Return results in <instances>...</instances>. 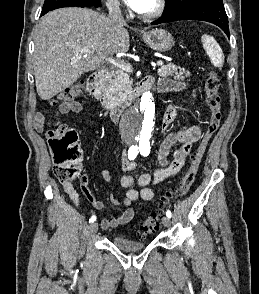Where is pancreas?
Returning a JSON list of instances; mask_svg holds the SVG:
<instances>
[{"instance_id": "cf45deb5", "label": "pancreas", "mask_w": 259, "mask_h": 294, "mask_svg": "<svg viewBox=\"0 0 259 294\" xmlns=\"http://www.w3.org/2000/svg\"><path fill=\"white\" fill-rule=\"evenodd\" d=\"M161 77H174V79L184 80L190 76V73L184 68L176 66L173 63L163 65L158 70ZM132 88V81L127 71L117 69L111 73L106 80L103 89V103L109 109L115 105H128L132 101L129 95Z\"/></svg>"}]
</instances>
